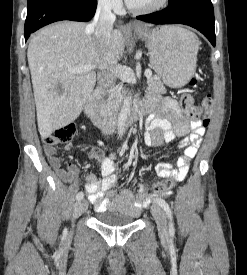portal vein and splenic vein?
<instances>
[{
  "instance_id": "obj_1",
  "label": "portal vein and splenic vein",
  "mask_w": 247,
  "mask_h": 275,
  "mask_svg": "<svg viewBox=\"0 0 247 275\" xmlns=\"http://www.w3.org/2000/svg\"><path fill=\"white\" fill-rule=\"evenodd\" d=\"M94 68H95V66H91V65H81V66H76V67L71 68L70 71L80 73V72L92 70ZM110 71L114 72L115 69H111ZM144 74L147 78H149L152 76V71L147 69V70H145Z\"/></svg>"
}]
</instances>
